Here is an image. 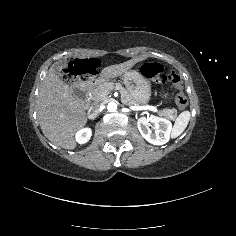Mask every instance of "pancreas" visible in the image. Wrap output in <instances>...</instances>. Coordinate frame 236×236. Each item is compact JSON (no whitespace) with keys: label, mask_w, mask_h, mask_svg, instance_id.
Returning a JSON list of instances; mask_svg holds the SVG:
<instances>
[{"label":"pancreas","mask_w":236,"mask_h":236,"mask_svg":"<svg viewBox=\"0 0 236 236\" xmlns=\"http://www.w3.org/2000/svg\"><path fill=\"white\" fill-rule=\"evenodd\" d=\"M113 89H117L121 94V102L125 105L132 106L138 105V103L131 97L129 92L120 84L113 82H105L97 86L90 88L89 92L91 93L90 100L92 102L98 103L108 98V95ZM158 115L165 117L170 120H175L177 116V110L172 109H163L158 111Z\"/></svg>","instance_id":"obj_1"}]
</instances>
